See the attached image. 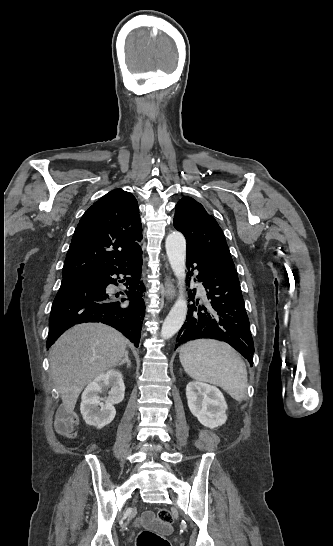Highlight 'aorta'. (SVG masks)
Returning <instances> with one entry per match:
<instances>
[{
  "label": "aorta",
  "mask_w": 333,
  "mask_h": 546,
  "mask_svg": "<svg viewBox=\"0 0 333 546\" xmlns=\"http://www.w3.org/2000/svg\"><path fill=\"white\" fill-rule=\"evenodd\" d=\"M165 247L170 266L178 280L180 289H183L185 286L186 261V241L184 236L178 231L170 233L166 238ZM186 315L187 301L180 294L162 325L161 337L163 339L173 337L183 325Z\"/></svg>",
  "instance_id": "762f6f07"
}]
</instances>
